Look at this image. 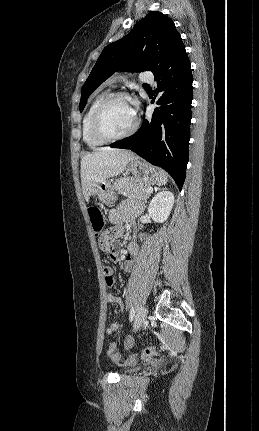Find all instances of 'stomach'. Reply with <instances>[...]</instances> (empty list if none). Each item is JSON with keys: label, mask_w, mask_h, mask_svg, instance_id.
<instances>
[{"label": "stomach", "mask_w": 259, "mask_h": 431, "mask_svg": "<svg viewBox=\"0 0 259 431\" xmlns=\"http://www.w3.org/2000/svg\"><path fill=\"white\" fill-rule=\"evenodd\" d=\"M126 170L133 175V178L140 179L149 186L160 182L159 171L138 158L128 163ZM91 195L106 205L113 204L116 200L114 188L109 181L98 184Z\"/></svg>", "instance_id": "obj_1"}]
</instances>
